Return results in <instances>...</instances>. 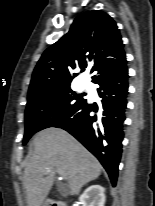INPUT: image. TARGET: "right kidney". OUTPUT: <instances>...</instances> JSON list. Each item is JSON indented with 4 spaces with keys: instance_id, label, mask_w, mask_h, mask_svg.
Wrapping results in <instances>:
<instances>
[{
    "instance_id": "obj_1",
    "label": "right kidney",
    "mask_w": 155,
    "mask_h": 206,
    "mask_svg": "<svg viewBox=\"0 0 155 206\" xmlns=\"http://www.w3.org/2000/svg\"><path fill=\"white\" fill-rule=\"evenodd\" d=\"M81 206H104L105 188L101 185H91L79 197Z\"/></svg>"
}]
</instances>
